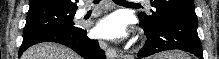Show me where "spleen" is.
I'll list each match as a JSON object with an SVG mask.
<instances>
[{
    "label": "spleen",
    "instance_id": "1",
    "mask_svg": "<svg viewBox=\"0 0 219 59\" xmlns=\"http://www.w3.org/2000/svg\"><path fill=\"white\" fill-rule=\"evenodd\" d=\"M166 58H169V59H183V58H188L186 56H180V55H168Z\"/></svg>",
    "mask_w": 219,
    "mask_h": 59
}]
</instances>
